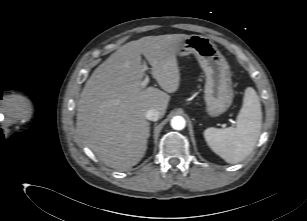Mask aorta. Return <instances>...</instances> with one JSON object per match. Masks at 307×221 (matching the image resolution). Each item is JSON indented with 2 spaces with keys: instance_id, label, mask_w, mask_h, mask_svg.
Masks as SVG:
<instances>
[{
  "instance_id": "aorta-1",
  "label": "aorta",
  "mask_w": 307,
  "mask_h": 221,
  "mask_svg": "<svg viewBox=\"0 0 307 221\" xmlns=\"http://www.w3.org/2000/svg\"><path fill=\"white\" fill-rule=\"evenodd\" d=\"M186 121L182 116H174L171 119V127L175 130H182L185 128Z\"/></svg>"
}]
</instances>
